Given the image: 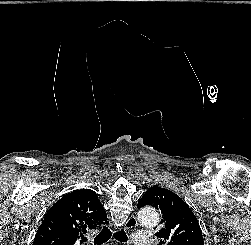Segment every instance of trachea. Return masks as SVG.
<instances>
[{
	"instance_id": "1",
	"label": "trachea",
	"mask_w": 251,
	"mask_h": 245,
	"mask_svg": "<svg viewBox=\"0 0 251 245\" xmlns=\"http://www.w3.org/2000/svg\"><path fill=\"white\" fill-rule=\"evenodd\" d=\"M112 236V232L110 229L106 226L101 230V232L94 238V244L95 245H102L103 243H106ZM113 236L116 240L120 242H127L128 237L123 229H121L118 232L113 233ZM87 241V238L82 237L81 243H84Z\"/></svg>"
}]
</instances>
